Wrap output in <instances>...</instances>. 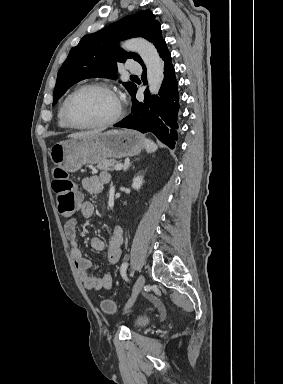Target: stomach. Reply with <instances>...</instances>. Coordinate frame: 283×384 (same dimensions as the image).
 I'll list each match as a JSON object with an SVG mask.
<instances>
[{"mask_svg":"<svg viewBox=\"0 0 283 384\" xmlns=\"http://www.w3.org/2000/svg\"><path fill=\"white\" fill-rule=\"evenodd\" d=\"M145 148V140L133 130H108L103 134L73 138L52 146L51 162L66 172H77L84 164H100L107 158L137 156Z\"/></svg>","mask_w":283,"mask_h":384,"instance_id":"stomach-1","label":"stomach"}]
</instances>
